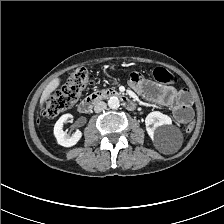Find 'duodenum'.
Here are the masks:
<instances>
[{
	"mask_svg": "<svg viewBox=\"0 0 224 224\" xmlns=\"http://www.w3.org/2000/svg\"><path fill=\"white\" fill-rule=\"evenodd\" d=\"M110 97L119 98L122 101L124 107L129 111H133L135 109V104L129 97L125 96L121 92L114 90V89H104L101 91H96V92L90 94L89 96H87L79 104L78 112L81 114H86L92 109V107L96 103H98L99 101H101L104 98H110Z\"/></svg>",
	"mask_w": 224,
	"mask_h": 224,
	"instance_id": "obj_1",
	"label": "duodenum"
}]
</instances>
